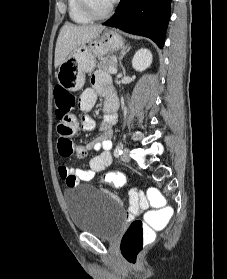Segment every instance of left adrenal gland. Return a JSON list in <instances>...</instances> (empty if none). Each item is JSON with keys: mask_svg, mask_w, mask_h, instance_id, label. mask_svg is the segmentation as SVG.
<instances>
[{"mask_svg": "<svg viewBox=\"0 0 227 279\" xmlns=\"http://www.w3.org/2000/svg\"><path fill=\"white\" fill-rule=\"evenodd\" d=\"M130 49H131L130 46H126V47H124V48L121 50V52H120L119 65H120V67L122 68V73H123V75L126 74V70H125L124 66L122 65V59H123V57L126 55V53H128V52L130 51Z\"/></svg>", "mask_w": 227, "mask_h": 279, "instance_id": "a2214340", "label": "left adrenal gland"}]
</instances>
